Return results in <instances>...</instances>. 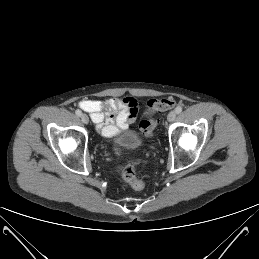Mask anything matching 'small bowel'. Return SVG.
Segmentation results:
<instances>
[{
  "label": "small bowel",
  "mask_w": 259,
  "mask_h": 259,
  "mask_svg": "<svg viewBox=\"0 0 259 259\" xmlns=\"http://www.w3.org/2000/svg\"><path fill=\"white\" fill-rule=\"evenodd\" d=\"M79 107L88 112L97 129L110 136L117 130L127 129L136 120L138 102L133 97L109 98L106 100L84 99Z\"/></svg>",
  "instance_id": "1"
}]
</instances>
